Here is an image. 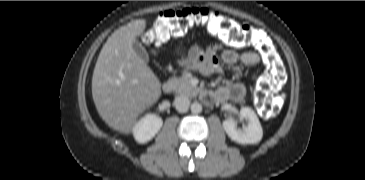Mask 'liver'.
<instances>
[{
    "instance_id": "1",
    "label": "liver",
    "mask_w": 365,
    "mask_h": 180,
    "mask_svg": "<svg viewBox=\"0 0 365 180\" xmlns=\"http://www.w3.org/2000/svg\"><path fill=\"white\" fill-rule=\"evenodd\" d=\"M146 28L138 19L115 30L104 44L92 77V96L105 123L130 134L138 117L159 99L161 83L137 56L133 42Z\"/></svg>"
}]
</instances>
